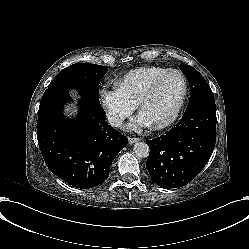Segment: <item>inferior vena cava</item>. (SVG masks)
I'll list each match as a JSON object with an SVG mask.
<instances>
[{
    "label": "inferior vena cava",
    "mask_w": 249,
    "mask_h": 249,
    "mask_svg": "<svg viewBox=\"0 0 249 249\" xmlns=\"http://www.w3.org/2000/svg\"><path fill=\"white\" fill-rule=\"evenodd\" d=\"M108 123L114 127H121L124 118L116 112L109 110L107 113Z\"/></svg>",
    "instance_id": "602c4592"
}]
</instances>
